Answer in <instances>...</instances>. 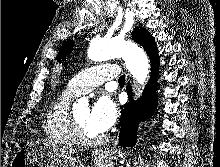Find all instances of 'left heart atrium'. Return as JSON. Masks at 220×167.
<instances>
[{
  "instance_id": "39dd6f15",
  "label": "left heart atrium",
  "mask_w": 220,
  "mask_h": 167,
  "mask_svg": "<svg viewBox=\"0 0 220 167\" xmlns=\"http://www.w3.org/2000/svg\"><path fill=\"white\" fill-rule=\"evenodd\" d=\"M117 118V105L110 96H102L97 99L89 111V122L98 133L109 130Z\"/></svg>"
}]
</instances>
